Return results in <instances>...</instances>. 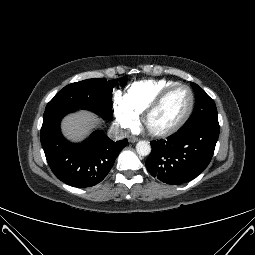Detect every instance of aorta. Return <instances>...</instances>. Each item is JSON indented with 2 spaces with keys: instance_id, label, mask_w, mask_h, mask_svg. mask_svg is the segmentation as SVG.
I'll return each instance as SVG.
<instances>
[{
  "instance_id": "obj_1",
  "label": "aorta",
  "mask_w": 255,
  "mask_h": 255,
  "mask_svg": "<svg viewBox=\"0 0 255 255\" xmlns=\"http://www.w3.org/2000/svg\"><path fill=\"white\" fill-rule=\"evenodd\" d=\"M136 151L140 156H147L151 152V146L148 141H139L136 144Z\"/></svg>"
}]
</instances>
